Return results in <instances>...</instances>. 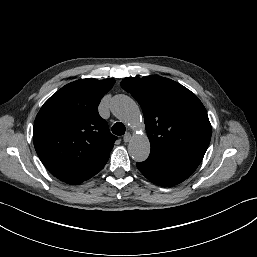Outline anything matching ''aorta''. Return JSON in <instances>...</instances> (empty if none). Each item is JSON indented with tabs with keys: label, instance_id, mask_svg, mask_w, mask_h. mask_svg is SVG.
<instances>
[{
	"label": "aorta",
	"instance_id": "762f6f07",
	"mask_svg": "<svg viewBox=\"0 0 257 257\" xmlns=\"http://www.w3.org/2000/svg\"><path fill=\"white\" fill-rule=\"evenodd\" d=\"M112 113L121 121L134 128L141 124V115L138 105L126 95H116L110 103ZM128 152L133 160L145 161L150 153V142L146 135L133 136L128 145Z\"/></svg>",
	"mask_w": 257,
	"mask_h": 257
}]
</instances>
